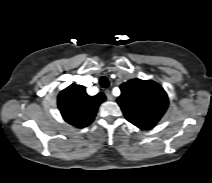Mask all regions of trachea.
I'll list each match as a JSON object with an SVG mask.
<instances>
[{
  "mask_svg": "<svg viewBox=\"0 0 212 183\" xmlns=\"http://www.w3.org/2000/svg\"><path fill=\"white\" fill-rule=\"evenodd\" d=\"M99 84L102 88H108L110 85V82L107 77L103 76L99 79Z\"/></svg>",
  "mask_w": 212,
  "mask_h": 183,
  "instance_id": "trachea-1",
  "label": "trachea"
}]
</instances>
